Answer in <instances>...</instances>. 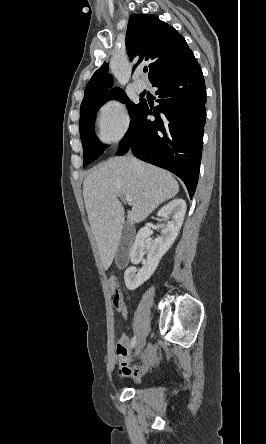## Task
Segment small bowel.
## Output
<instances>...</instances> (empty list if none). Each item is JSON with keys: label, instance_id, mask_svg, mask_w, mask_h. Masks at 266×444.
I'll return each instance as SVG.
<instances>
[{"label": "small bowel", "instance_id": "1", "mask_svg": "<svg viewBox=\"0 0 266 444\" xmlns=\"http://www.w3.org/2000/svg\"><path fill=\"white\" fill-rule=\"evenodd\" d=\"M110 284L113 288L118 287L119 283L117 279H110ZM118 311L124 316H127V309L125 304L118 309ZM117 355L121 361L120 374L123 377H138L143 372V367L141 365H137L134 368H130L127 365V361L129 359V338L126 335H122L117 344Z\"/></svg>", "mask_w": 266, "mask_h": 444}]
</instances>
